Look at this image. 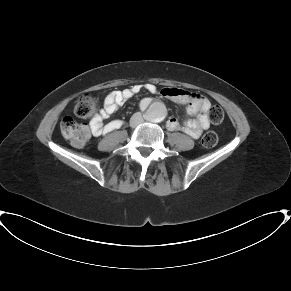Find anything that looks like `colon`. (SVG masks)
I'll use <instances>...</instances> for the list:
<instances>
[{
	"mask_svg": "<svg viewBox=\"0 0 291 291\" xmlns=\"http://www.w3.org/2000/svg\"><path fill=\"white\" fill-rule=\"evenodd\" d=\"M97 106V97L93 94H85L78 99L75 105V115L79 119H87L94 114ZM208 117L212 123L220 124L224 118L223 109L218 105H213L208 110ZM60 129L61 134L77 147L84 146L91 138V127L70 116L61 121ZM217 141V134L212 131L207 132L202 138V144L206 148L215 146Z\"/></svg>",
	"mask_w": 291,
	"mask_h": 291,
	"instance_id": "5ec220e1",
	"label": "colon"
}]
</instances>
